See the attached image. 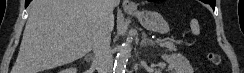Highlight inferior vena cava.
Segmentation results:
<instances>
[{"mask_svg": "<svg viewBox=\"0 0 244 73\" xmlns=\"http://www.w3.org/2000/svg\"><path fill=\"white\" fill-rule=\"evenodd\" d=\"M103 18L93 41L94 64L98 73H112L113 56L110 47L111 30L107 23L108 15L113 13L116 0H102Z\"/></svg>", "mask_w": 244, "mask_h": 73, "instance_id": "obj_1", "label": "inferior vena cava"}]
</instances>
